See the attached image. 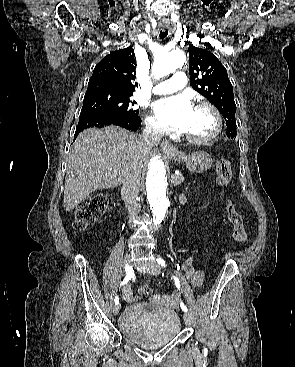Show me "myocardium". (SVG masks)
Returning a JSON list of instances; mask_svg holds the SVG:
<instances>
[{"label":"myocardium","mask_w":295,"mask_h":367,"mask_svg":"<svg viewBox=\"0 0 295 367\" xmlns=\"http://www.w3.org/2000/svg\"><path fill=\"white\" fill-rule=\"evenodd\" d=\"M195 108H203V109H207L213 116L214 118V121H215V128L214 130L212 131V133L206 137H201V138H198V137H193V136H190L186 133H183V136L184 138L189 141L190 143H193V144H197V145H205V144H208V143H211L213 142L222 132V128H223V122H222V117H221V114L220 112L218 111V109L212 105L211 103L209 102H206V101H201V102H198L196 105H195Z\"/></svg>","instance_id":"obj_1"}]
</instances>
